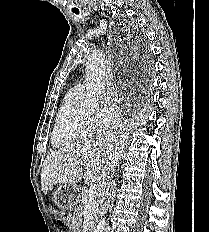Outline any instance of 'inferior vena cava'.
<instances>
[{
    "instance_id": "inferior-vena-cava-1",
    "label": "inferior vena cava",
    "mask_w": 209,
    "mask_h": 232,
    "mask_svg": "<svg viewBox=\"0 0 209 232\" xmlns=\"http://www.w3.org/2000/svg\"><path fill=\"white\" fill-rule=\"evenodd\" d=\"M105 138L108 142L109 152L113 155V160L104 169L101 176L100 183V196L105 199L109 195V189L112 182L113 174L115 172L116 160H118V155L121 153L117 150V140H115V135L111 131H107Z\"/></svg>"
}]
</instances>
